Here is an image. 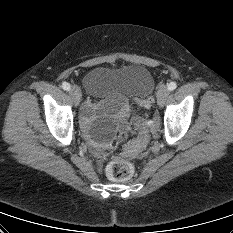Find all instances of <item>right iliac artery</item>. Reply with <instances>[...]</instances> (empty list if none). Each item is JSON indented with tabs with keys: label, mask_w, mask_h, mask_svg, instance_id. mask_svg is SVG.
I'll return each mask as SVG.
<instances>
[{
	"label": "right iliac artery",
	"mask_w": 233,
	"mask_h": 233,
	"mask_svg": "<svg viewBox=\"0 0 233 233\" xmlns=\"http://www.w3.org/2000/svg\"><path fill=\"white\" fill-rule=\"evenodd\" d=\"M62 88L66 91H69L70 90V84L67 83V82H63L62 83Z\"/></svg>",
	"instance_id": "right-iliac-artery-1"
}]
</instances>
